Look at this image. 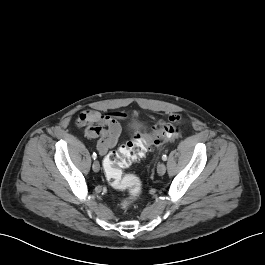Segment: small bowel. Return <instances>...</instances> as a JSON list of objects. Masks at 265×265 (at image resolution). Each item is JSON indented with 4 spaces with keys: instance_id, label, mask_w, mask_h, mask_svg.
Segmentation results:
<instances>
[{
    "instance_id": "c3829d8e",
    "label": "small bowel",
    "mask_w": 265,
    "mask_h": 265,
    "mask_svg": "<svg viewBox=\"0 0 265 265\" xmlns=\"http://www.w3.org/2000/svg\"><path fill=\"white\" fill-rule=\"evenodd\" d=\"M126 117V114L119 111L100 112L96 110H85L78 115L75 124L84 129L87 137L99 139L97 150L100 155H105L117 145L121 136L120 121ZM176 119L174 116L171 118V120Z\"/></svg>"
}]
</instances>
